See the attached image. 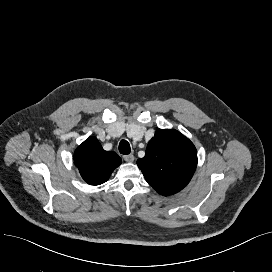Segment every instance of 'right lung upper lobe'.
Here are the masks:
<instances>
[{
	"mask_svg": "<svg viewBox=\"0 0 272 272\" xmlns=\"http://www.w3.org/2000/svg\"><path fill=\"white\" fill-rule=\"evenodd\" d=\"M74 163L84 181L100 185L121 164V158L114 151H105L97 138L89 137L76 149Z\"/></svg>",
	"mask_w": 272,
	"mask_h": 272,
	"instance_id": "1",
	"label": "right lung upper lobe"
}]
</instances>
